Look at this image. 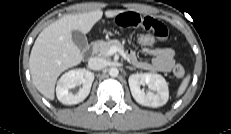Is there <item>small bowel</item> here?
<instances>
[{"mask_svg":"<svg viewBox=\"0 0 231 134\" xmlns=\"http://www.w3.org/2000/svg\"><path fill=\"white\" fill-rule=\"evenodd\" d=\"M114 23L121 29H141L158 40H165L168 36L167 27L159 20L151 16H142L139 13L125 11L114 16ZM145 54L151 55L150 61H141L133 51L127 52V58L136 67L147 71L167 72L174 62V51L167 47H146L143 48Z\"/></svg>","mask_w":231,"mask_h":134,"instance_id":"1","label":"small bowel"}]
</instances>
